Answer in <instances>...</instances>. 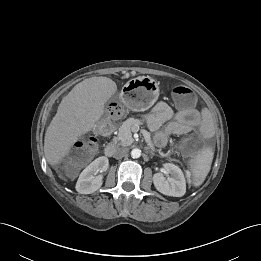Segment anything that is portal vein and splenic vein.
Instances as JSON below:
<instances>
[{
	"mask_svg": "<svg viewBox=\"0 0 261 261\" xmlns=\"http://www.w3.org/2000/svg\"><path fill=\"white\" fill-rule=\"evenodd\" d=\"M143 133H144V135L146 136V137H150V133L149 132H147V131H143Z\"/></svg>",
	"mask_w": 261,
	"mask_h": 261,
	"instance_id": "obj_1",
	"label": "portal vein and splenic vein"
}]
</instances>
